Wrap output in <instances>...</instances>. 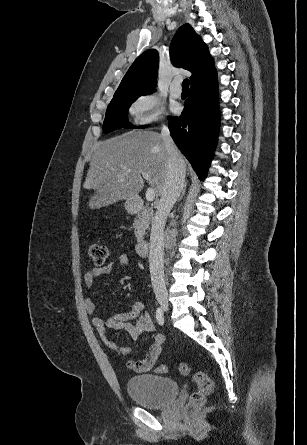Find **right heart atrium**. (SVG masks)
<instances>
[{
	"label": "right heart atrium",
	"instance_id": "right-heart-atrium-1",
	"mask_svg": "<svg viewBox=\"0 0 307 445\" xmlns=\"http://www.w3.org/2000/svg\"><path fill=\"white\" fill-rule=\"evenodd\" d=\"M164 110L163 101L153 91L140 96L137 100V112L134 116L136 125H150L156 123L162 116Z\"/></svg>",
	"mask_w": 307,
	"mask_h": 445
}]
</instances>
